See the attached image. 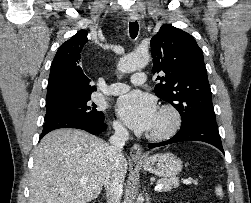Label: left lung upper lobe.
Segmentation results:
<instances>
[{"label": "left lung upper lobe", "mask_w": 251, "mask_h": 203, "mask_svg": "<svg viewBox=\"0 0 251 203\" xmlns=\"http://www.w3.org/2000/svg\"><path fill=\"white\" fill-rule=\"evenodd\" d=\"M155 94L173 105L185 128L196 122L217 125L203 52L195 39L181 29L163 24L151 39Z\"/></svg>", "instance_id": "obj_1"}]
</instances>
